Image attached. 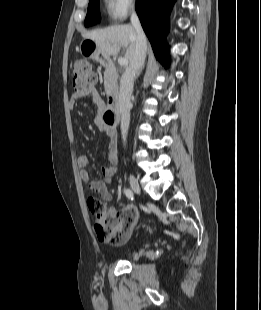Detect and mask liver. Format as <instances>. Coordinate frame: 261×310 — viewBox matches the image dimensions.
<instances>
[{"instance_id": "6515ba94", "label": "liver", "mask_w": 261, "mask_h": 310, "mask_svg": "<svg viewBox=\"0 0 261 310\" xmlns=\"http://www.w3.org/2000/svg\"><path fill=\"white\" fill-rule=\"evenodd\" d=\"M136 36L134 27L130 25H116L84 34L86 39L96 43L103 56H115L125 47L124 58L129 62L135 52Z\"/></svg>"}]
</instances>
